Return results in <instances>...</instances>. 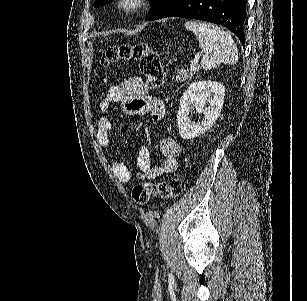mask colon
I'll use <instances>...</instances> for the list:
<instances>
[{
  "label": "colon",
  "mask_w": 307,
  "mask_h": 301,
  "mask_svg": "<svg viewBox=\"0 0 307 301\" xmlns=\"http://www.w3.org/2000/svg\"><path fill=\"white\" fill-rule=\"evenodd\" d=\"M121 60L139 62L141 73L151 88H158L164 82V72L159 54L146 42L124 43L108 48L101 58L103 66L112 65ZM184 181L173 177L167 182H144L133 187V201L141 206L149 203L153 197L172 199L184 192Z\"/></svg>",
  "instance_id": "obj_1"
}]
</instances>
